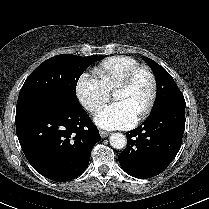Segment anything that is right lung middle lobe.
<instances>
[{
    "mask_svg": "<svg viewBox=\"0 0 209 209\" xmlns=\"http://www.w3.org/2000/svg\"><path fill=\"white\" fill-rule=\"evenodd\" d=\"M103 56L80 57L61 54L41 63L23 84L16 106V112L39 101L60 98L79 103L76 85L84 70Z\"/></svg>",
    "mask_w": 209,
    "mask_h": 209,
    "instance_id": "dd1d6c3e",
    "label": "right lung middle lobe"
}]
</instances>
